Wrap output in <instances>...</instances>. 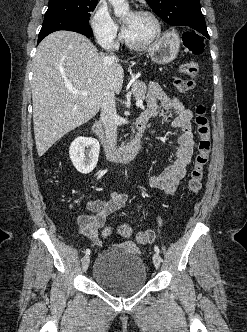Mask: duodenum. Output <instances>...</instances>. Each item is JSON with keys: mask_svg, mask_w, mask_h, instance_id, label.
<instances>
[{"mask_svg": "<svg viewBox=\"0 0 247 332\" xmlns=\"http://www.w3.org/2000/svg\"><path fill=\"white\" fill-rule=\"evenodd\" d=\"M147 122L148 118L140 115V117L137 119V135L131 142L120 148H115L110 143H108V141H106L99 121L96 120L93 123L92 129L94 133L102 139L104 144V150L108 158L120 161H127L135 158L140 153L142 149Z\"/></svg>", "mask_w": 247, "mask_h": 332, "instance_id": "1", "label": "duodenum"}]
</instances>
